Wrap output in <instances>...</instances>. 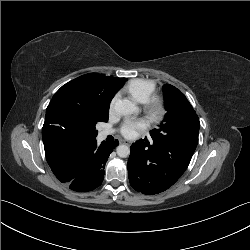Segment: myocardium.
Listing matches in <instances>:
<instances>
[{
  "label": "myocardium",
  "instance_id": "myocardium-1",
  "mask_svg": "<svg viewBox=\"0 0 250 250\" xmlns=\"http://www.w3.org/2000/svg\"><path fill=\"white\" fill-rule=\"evenodd\" d=\"M145 108L153 120L162 119L166 113L165 101L161 96L158 95H152L150 99L145 102Z\"/></svg>",
  "mask_w": 250,
  "mask_h": 250
}]
</instances>
